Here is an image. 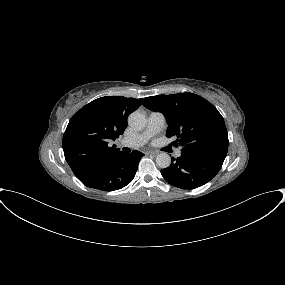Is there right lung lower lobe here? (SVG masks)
<instances>
[{
  "instance_id": "98d812e1",
  "label": "right lung lower lobe",
  "mask_w": 285,
  "mask_h": 285,
  "mask_svg": "<svg viewBox=\"0 0 285 285\" xmlns=\"http://www.w3.org/2000/svg\"><path fill=\"white\" fill-rule=\"evenodd\" d=\"M143 154L121 152L87 168L76 177L86 186L102 191H114L128 185L135 177Z\"/></svg>"
}]
</instances>
